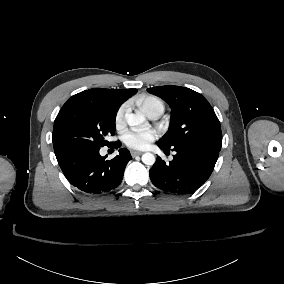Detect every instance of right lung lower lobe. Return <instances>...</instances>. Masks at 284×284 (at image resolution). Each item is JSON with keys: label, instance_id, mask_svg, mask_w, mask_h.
Returning a JSON list of instances; mask_svg holds the SVG:
<instances>
[{"label": "right lung lower lobe", "instance_id": "right-lung-lower-lobe-1", "mask_svg": "<svg viewBox=\"0 0 284 284\" xmlns=\"http://www.w3.org/2000/svg\"><path fill=\"white\" fill-rule=\"evenodd\" d=\"M115 149L119 141L110 143ZM100 147L83 148L56 156L68 181L84 193L98 195L112 192L122 181L126 164L132 159L130 152L122 148L112 160L99 154Z\"/></svg>", "mask_w": 284, "mask_h": 284}]
</instances>
